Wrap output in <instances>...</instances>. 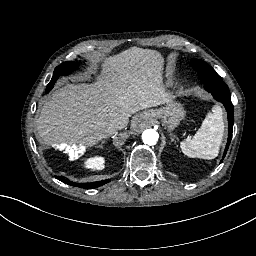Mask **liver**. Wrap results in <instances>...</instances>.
Segmentation results:
<instances>
[{
  "instance_id": "liver-1",
  "label": "liver",
  "mask_w": 256,
  "mask_h": 256,
  "mask_svg": "<svg viewBox=\"0 0 256 256\" xmlns=\"http://www.w3.org/2000/svg\"><path fill=\"white\" fill-rule=\"evenodd\" d=\"M161 65L158 53L138 47L108 59L97 86L71 84L53 94L37 120L39 135L52 145L98 144L137 111L170 102L161 85ZM142 116H133L130 128Z\"/></svg>"
}]
</instances>
